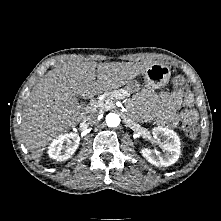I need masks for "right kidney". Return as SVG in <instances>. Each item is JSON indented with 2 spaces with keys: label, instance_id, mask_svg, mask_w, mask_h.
I'll list each match as a JSON object with an SVG mask.
<instances>
[{
  "label": "right kidney",
  "instance_id": "1",
  "mask_svg": "<svg viewBox=\"0 0 221 221\" xmlns=\"http://www.w3.org/2000/svg\"><path fill=\"white\" fill-rule=\"evenodd\" d=\"M80 137L76 133L59 135L48 147V155L57 161L69 159L77 150Z\"/></svg>",
  "mask_w": 221,
  "mask_h": 221
}]
</instances>
